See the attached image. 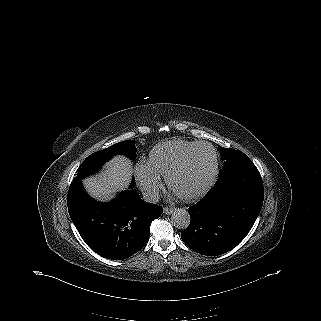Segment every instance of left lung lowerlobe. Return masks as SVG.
I'll list each match as a JSON object with an SVG mask.
<instances>
[{"label": "left lung lower lobe", "mask_w": 321, "mask_h": 321, "mask_svg": "<svg viewBox=\"0 0 321 321\" xmlns=\"http://www.w3.org/2000/svg\"><path fill=\"white\" fill-rule=\"evenodd\" d=\"M208 193L189 208L191 222L181 233L195 252L217 256L236 247L249 233L263 204V183L251 162L219 173Z\"/></svg>", "instance_id": "left-lung-lower-lobe-1"}]
</instances>
